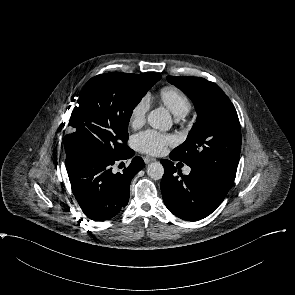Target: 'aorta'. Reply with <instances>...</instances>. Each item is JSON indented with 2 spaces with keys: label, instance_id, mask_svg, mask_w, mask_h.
I'll return each instance as SVG.
<instances>
[{
  "label": "aorta",
  "instance_id": "obj_1",
  "mask_svg": "<svg viewBox=\"0 0 295 295\" xmlns=\"http://www.w3.org/2000/svg\"><path fill=\"white\" fill-rule=\"evenodd\" d=\"M148 123L154 129L168 130L172 126V119L168 110L157 108L152 110L148 115ZM164 167L160 162H153L147 166V175L159 180L163 177Z\"/></svg>",
  "mask_w": 295,
  "mask_h": 295
}]
</instances>
